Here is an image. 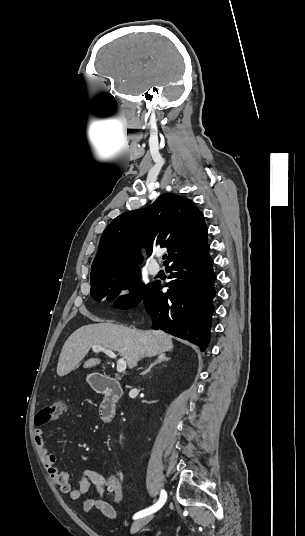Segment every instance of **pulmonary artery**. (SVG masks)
I'll list each match as a JSON object with an SVG mask.
<instances>
[{
    "label": "pulmonary artery",
    "instance_id": "obj_1",
    "mask_svg": "<svg viewBox=\"0 0 305 536\" xmlns=\"http://www.w3.org/2000/svg\"><path fill=\"white\" fill-rule=\"evenodd\" d=\"M161 270V267L157 263H153L149 266V272L153 275H157Z\"/></svg>",
    "mask_w": 305,
    "mask_h": 536
}]
</instances>
